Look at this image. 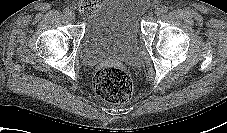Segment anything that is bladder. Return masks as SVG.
<instances>
[{
	"label": "bladder",
	"instance_id": "31cf9c89",
	"mask_svg": "<svg viewBox=\"0 0 227 133\" xmlns=\"http://www.w3.org/2000/svg\"><path fill=\"white\" fill-rule=\"evenodd\" d=\"M144 0H102L87 19L79 46L83 64L107 59L136 63L140 56V20Z\"/></svg>",
	"mask_w": 227,
	"mask_h": 133
}]
</instances>
